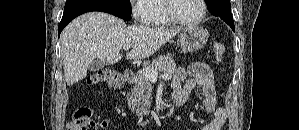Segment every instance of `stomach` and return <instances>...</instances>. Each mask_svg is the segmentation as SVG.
Listing matches in <instances>:
<instances>
[{"label":"stomach","mask_w":299,"mask_h":130,"mask_svg":"<svg viewBox=\"0 0 299 130\" xmlns=\"http://www.w3.org/2000/svg\"><path fill=\"white\" fill-rule=\"evenodd\" d=\"M209 34L198 26L187 27L179 36L183 52H194L203 48L208 40Z\"/></svg>","instance_id":"1"}]
</instances>
